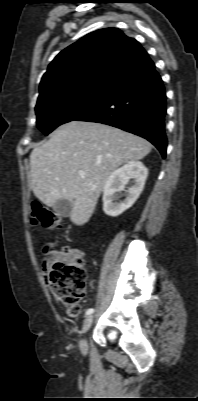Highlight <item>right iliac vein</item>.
Masks as SVG:
<instances>
[{"instance_id": "1", "label": "right iliac vein", "mask_w": 198, "mask_h": 401, "mask_svg": "<svg viewBox=\"0 0 198 401\" xmlns=\"http://www.w3.org/2000/svg\"><path fill=\"white\" fill-rule=\"evenodd\" d=\"M93 323V316L89 315L83 322V326H82V333L85 334L91 327ZM80 348L82 352H86L87 351V341L85 338H82L80 341Z\"/></svg>"}]
</instances>
